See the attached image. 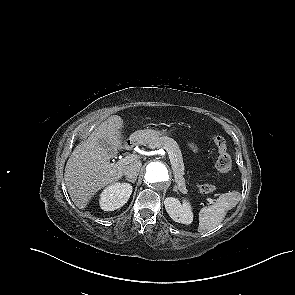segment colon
I'll use <instances>...</instances> for the list:
<instances>
[{"mask_svg":"<svg viewBox=\"0 0 295 295\" xmlns=\"http://www.w3.org/2000/svg\"><path fill=\"white\" fill-rule=\"evenodd\" d=\"M214 142L217 146L216 168L221 173H226L231 169L232 159L228 151L227 142L224 137L216 135ZM199 190L203 194H210L216 190V185L211 182L201 183Z\"/></svg>","mask_w":295,"mask_h":295,"instance_id":"5ec220e1","label":"colon"}]
</instances>
